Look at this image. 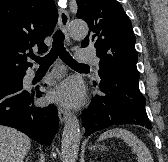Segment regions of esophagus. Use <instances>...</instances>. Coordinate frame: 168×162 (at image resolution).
I'll use <instances>...</instances> for the list:
<instances>
[{"label":"esophagus","mask_w":168,"mask_h":162,"mask_svg":"<svg viewBox=\"0 0 168 162\" xmlns=\"http://www.w3.org/2000/svg\"><path fill=\"white\" fill-rule=\"evenodd\" d=\"M59 24L62 31L65 34L66 41L69 42V35L67 33V27L69 24V15L67 11L64 9H59ZM58 116H59L60 122L64 123L70 117V112L65 108L59 107Z\"/></svg>","instance_id":"esophagus-1"}]
</instances>
